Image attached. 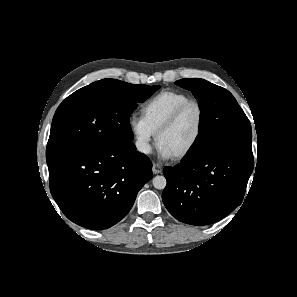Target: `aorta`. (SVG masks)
I'll return each mask as SVG.
<instances>
[{
    "label": "aorta",
    "mask_w": 297,
    "mask_h": 297,
    "mask_svg": "<svg viewBox=\"0 0 297 297\" xmlns=\"http://www.w3.org/2000/svg\"><path fill=\"white\" fill-rule=\"evenodd\" d=\"M152 182H153V186L159 190L164 189L166 187V183H167L166 178L161 175L155 176L153 178Z\"/></svg>",
    "instance_id": "aorta-1"
}]
</instances>
